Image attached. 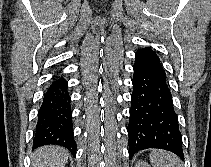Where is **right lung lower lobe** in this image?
I'll use <instances>...</instances> for the list:
<instances>
[{
	"label": "right lung lower lobe",
	"instance_id": "obj_1",
	"mask_svg": "<svg viewBox=\"0 0 211 167\" xmlns=\"http://www.w3.org/2000/svg\"><path fill=\"white\" fill-rule=\"evenodd\" d=\"M67 81L61 76L55 78L47 88L38 112L34 145H60L73 155L76 143L73 137L71 100Z\"/></svg>",
	"mask_w": 211,
	"mask_h": 167
}]
</instances>
